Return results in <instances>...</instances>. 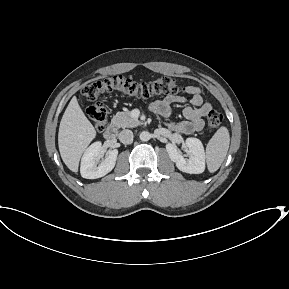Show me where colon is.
Here are the masks:
<instances>
[{"instance_id":"obj_1","label":"colon","mask_w":289,"mask_h":289,"mask_svg":"<svg viewBox=\"0 0 289 289\" xmlns=\"http://www.w3.org/2000/svg\"><path fill=\"white\" fill-rule=\"evenodd\" d=\"M183 90L184 87L171 77L138 82L120 75L88 82L83 86L81 93L87 100L95 102L99 96L109 92H119L137 99H148L153 96L174 95ZM86 112L98 131L106 127L108 115L103 103L95 102L87 108ZM222 121V115L216 111L207 114V126L211 131H216Z\"/></svg>"}]
</instances>
